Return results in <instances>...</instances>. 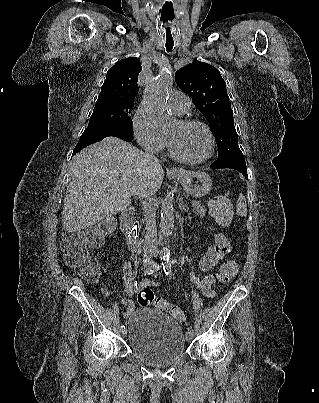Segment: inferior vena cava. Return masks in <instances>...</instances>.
Instances as JSON below:
<instances>
[{"label": "inferior vena cava", "instance_id": "obj_1", "mask_svg": "<svg viewBox=\"0 0 319 403\" xmlns=\"http://www.w3.org/2000/svg\"><path fill=\"white\" fill-rule=\"evenodd\" d=\"M145 156L151 166H157L159 164V161L152 152H146ZM155 193L156 189L153 187L152 184H143L137 190V195L141 202V207L144 213L145 245L147 249L154 251L157 250L158 246L155 212L153 208V196L155 195Z\"/></svg>", "mask_w": 319, "mask_h": 403}]
</instances>
